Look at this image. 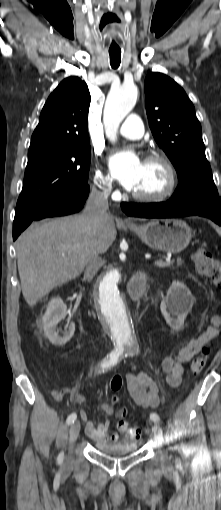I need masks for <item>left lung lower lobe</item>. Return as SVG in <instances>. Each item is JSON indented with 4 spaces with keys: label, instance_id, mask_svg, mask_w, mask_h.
<instances>
[{
    "label": "left lung lower lobe",
    "instance_id": "obj_1",
    "mask_svg": "<svg viewBox=\"0 0 221 510\" xmlns=\"http://www.w3.org/2000/svg\"><path fill=\"white\" fill-rule=\"evenodd\" d=\"M122 210L129 216L144 218H174L191 215L203 216L221 225V207L209 205L205 207L183 206L170 203H122Z\"/></svg>",
    "mask_w": 221,
    "mask_h": 510
}]
</instances>
